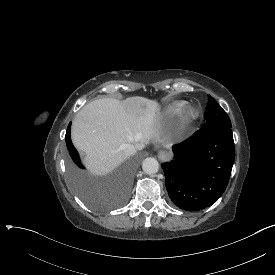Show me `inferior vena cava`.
<instances>
[{
    "mask_svg": "<svg viewBox=\"0 0 275 275\" xmlns=\"http://www.w3.org/2000/svg\"><path fill=\"white\" fill-rule=\"evenodd\" d=\"M123 152L126 156H131L136 153V148L132 144H125L123 146Z\"/></svg>",
    "mask_w": 275,
    "mask_h": 275,
    "instance_id": "602c4592",
    "label": "inferior vena cava"
}]
</instances>
